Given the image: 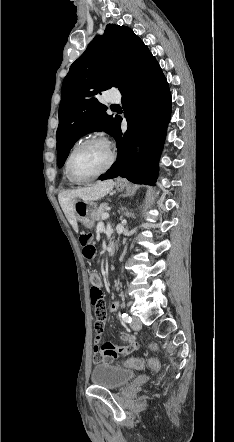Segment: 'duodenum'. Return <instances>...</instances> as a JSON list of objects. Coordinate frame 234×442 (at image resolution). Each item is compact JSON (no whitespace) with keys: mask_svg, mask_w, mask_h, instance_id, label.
I'll use <instances>...</instances> for the list:
<instances>
[{"mask_svg":"<svg viewBox=\"0 0 234 442\" xmlns=\"http://www.w3.org/2000/svg\"><path fill=\"white\" fill-rule=\"evenodd\" d=\"M116 252V245L114 243H109L105 249V255H113Z\"/></svg>","mask_w":234,"mask_h":442,"instance_id":"410a0bca","label":"duodenum"}]
</instances>
